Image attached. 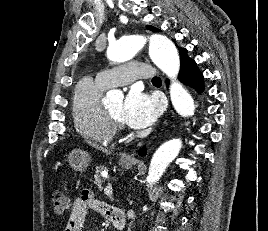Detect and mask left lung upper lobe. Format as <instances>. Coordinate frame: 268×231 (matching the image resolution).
Wrapping results in <instances>:
<instances>
[{"instance_id": "left-lung-upper-lobe-1", "label": "left lung upper lobe", "mask_w": 268, "mask_h": 231, "mask_svg": "<svg viewBox=\"0 0 268 231\" xmlns=\"http://www.w3.org/2000/svg\"><path fill=\"white\" fill-rule=\"evenodd\" d=\"M147 29L154 31V32H159L161 30L153 27V26H147ZM179 49V53H180V63L182 64L184 62L185 59L189 58V56L187 55V49L186 48H181L178 47Z\"/></svg>"}]
</instances>
